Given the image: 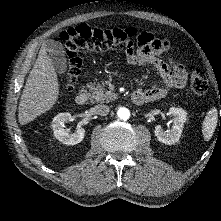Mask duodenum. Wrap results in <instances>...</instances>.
<instances>
[{"label": "duodenum", "mask_w": 221, "mask_h": 221, "mask_svg": "<svg viewBox=\"0 0 221 221\" xmlns=\"http://www.w3.org/2000/svg\"><path fill=\"white\" fill-rule=\"evenodd\" d=\"M88 100V94L85 91H80L75 98V101L78 105H84ZM131 100L134 104L140 105L147 102V98L143 93L135 91L131 95Z\"/></svg>", "instance_id": "1"}]
</instances>
